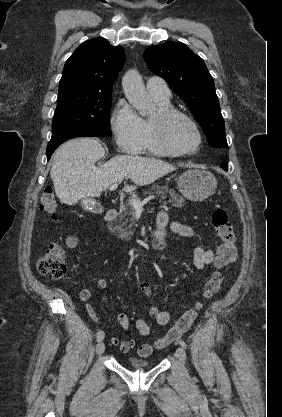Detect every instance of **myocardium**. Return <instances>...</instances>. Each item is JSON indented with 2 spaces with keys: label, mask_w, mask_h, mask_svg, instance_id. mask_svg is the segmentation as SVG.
<instances>
[{
  "label": "myocardium",
  "mask_w": 282,
  "mask_h": 417,
  "mask_svg": "<svg viewBox=\"0 0 282 417\" xmlns=\"http://www.w3.org/2000/svg\"><path fill=\"white\" fill-rule=\"evenodd\" d=\"M173 119H181L193 131L197 138L196 145L193 148L177 147L169 141L166 135V126ZM150 123L151 128L157 138V141L162 146V148H164L168 153L191 154L198 149L199 145L202 142V136L196 124L192 121V119L189 116L177 109L171 107L159 108L157 110L156 119L151 118Z\"/></svg>",
  "instance_id": "1"
}]
</instances>
